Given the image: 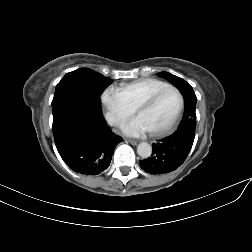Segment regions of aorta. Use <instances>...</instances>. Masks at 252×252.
<instances>
[{"label": "aorta", "mask_w": 252, "mask_h": 252, "mask_svg": "<svg viewBox=\"0 0 252 252\" xmlns=\"http://www.w3.org/2000/svg\"><path fill=\"white\" fill-rule=\"evenodd\" d=\"M137 153L142 158H148L152 154V147L147 142L139 143L137 146Z\"/></svg>", "instance_id": "1"}]
</instances>
